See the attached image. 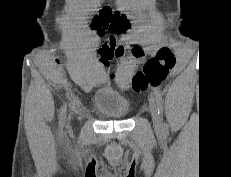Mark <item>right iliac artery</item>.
I'll use <instances>...</instances> for the list:
<instances>
[{
	"mask_svg": "<svg viewBox=\"0 0 231 177\" xmlns=\"http://www.w3.org/2000/svg\"><path fill=\"white\" fill-rule=\"evenodd\" d=\"M66 111H67V106H66V104H65V105H63V107L61 108V112H60L59 125H60L61 128L64 126V123H65Z\"/></svg>",
	"mask_w": 231,
	"mask_h": 177,
	"instance_id": "obj_1",
	"label": "right iliac artery"
}]
</instances>
